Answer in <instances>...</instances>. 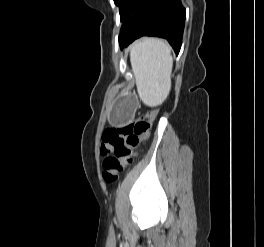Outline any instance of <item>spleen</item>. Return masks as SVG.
Segmentation results:
<instances>
[{
	"label": "spleen",
	"mask_w": 264,
	"mask_h": 247,
	"mask_svg": "<svg viewBox=\"0 0 264 247\" xmlns=\"http://www.w3.org/2000/svg\"><path fill=\"white\" fill-rule=\"evenodd\" d=\"M130 61L139 96L146 102L161 104L171 89L170 46L159 39H142L131 47Z\"/></svg>",
	"instance_id": "obj_1"
}]
</instances>
